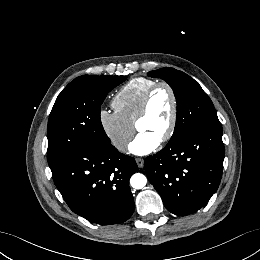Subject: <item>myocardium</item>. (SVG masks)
I'll return each mask as SVG.
<instances>
[{
    "label": "myocardium",
    "mask_w": 260,
    "mask_h": 260,
    "mask_svg": "<svg viewBox=\"0 0 260 260\" xmlns=\"http://www.w3.org/2000/svg\"><path fill=\"white\" fill-rule=\"evenodd\" d=\"M162 88L166 89L169 92L171 99H172V112H171L170 123H169L166 133L163 135V137L160 140L161 143H165V142L169 141L175 133L176 126H177V120H178V112H179L178 98H177L176 92L169 83L158 82L147 90V92L145 93V95L141 101L139 110H138L136 118H135L134 125H135L136 130L138 131V124L147 115L148 110H149V105H150L153 95L159 89H162Z\"/></svg>",
    "instance_id": "f54148a6"
}]
</instances>
